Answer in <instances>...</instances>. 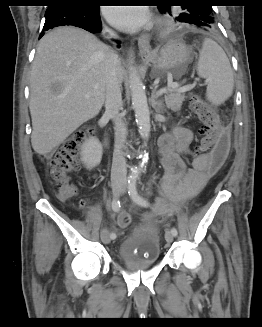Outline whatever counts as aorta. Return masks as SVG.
<instances>
[{
    "instance_id": "1",
    "label": "aorta",
    "mask_w": 262,
    "mask_h": 327,
    "mask_svg": "<svg viewBox=\"0 0 262 327\" xmlns=\"http://www.w3.org/2000/svg\"><path fill=\"white\" fill-rule=\"evenodd\" d=\"M134 62L133 55L130 56V88L132 106L135 112L136 122L139 127V134L147 140L150 135V112L147 103V97L143 84L136 74L135 68L132 66ZM142 170V166L135 167L131 170L130 177L137 178Z\"/></svg>"
}]
</instances>
